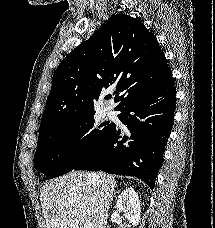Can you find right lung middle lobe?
<instances>
[{
	"label": "right lung middle lobe",
	"instance_id": "1",
	"mask_svg": "<svg viewBox=\"0 0 215 228\" xmlns=\"http://www.w3.org/2000/svg\"><path fill=\"white\" fill-rule=\"evenodd\" d=\"M94 123L93 114L77 121L40 128L33 160L35 169L45 174L48 179L73 170L114 128V124L95 127Z\"/></svg>",
	"mask_w": 215,
	"mask_h": 228
}]
</instances>
